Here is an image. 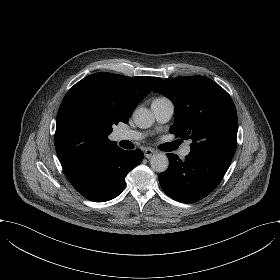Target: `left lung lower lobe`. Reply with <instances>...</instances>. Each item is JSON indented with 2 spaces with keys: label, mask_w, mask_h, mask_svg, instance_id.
I'll return each mask as SVG.
<instances>
[{
  "label": "left lung lower lobe",
  "mask_w": 280,
  "mask_h": 280,
  "mask_svg": "<svg viewBox=\"0 0 280 280\" xmlns=\"http://www.w3.org/2000/svg\"><path fill=\"white\" fill-rule=\"evenodd\" d=\"M169 167L159 174L163 191L172 199L182 203H192L210 194L221 182L232 158L191 151L180 160L168 153Z\"/></svg>",
  "instance_id": "obj_1"
}]
</instances>
